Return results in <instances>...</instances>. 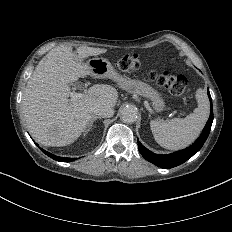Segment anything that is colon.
Here are the masks:
<instances>
[{
  "mask_svg": "<svg viewBox=\"0 0 232 232\" xmlns=\"http://www.w3.org/2000/svg\"><path fill=\"white\" fill-rule=\"evenodd\" d=\"M118 66H122L124 73H141L142 69L137 68V61H130V56H117ZM158 84L165 86V91H172L173 94H182L185 86H190V81H180L175 74L160 72L156 76Z\"/></svg>",
  "mask_w": 232,
  "mask_h": 232,
  "instance_id": "5ec220e1",
  "label": "colon"
}]
</instances>
